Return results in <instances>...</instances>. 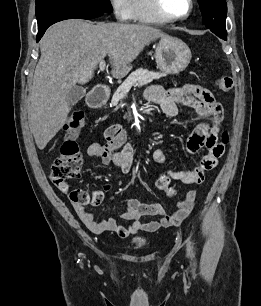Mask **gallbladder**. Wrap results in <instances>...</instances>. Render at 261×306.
I'll return each instance as SVG.
<instances>
[{"instance_id":"gallbladder-1","label":"gallbladder","mask_w":261,"mask_h":306,"mask_svg":"<svg viewBox=\"0 0 261 306\" xmlns=\"http://www.w3.org/2000/svg\"><path fill=\"white\" fill-rule=\"evenodd\" d=\"M86 93V89L81 86H73L69 92L67 101L70 106H74L78 101H80Z\"/></svg>"}]
</instances>
